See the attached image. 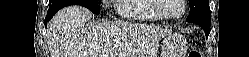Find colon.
Here are the masks:
<instances>
[{"mask_svg": "<svg viewBox=\"0 0 249 57\" xmlns=\"http://www.w3.org/2000/svg\"><path fill=\"white\" fill-rule=\"evenodd\" d=\"M189 57H201L200 52H198L197 50H192L189 53Z\"/></svg>", "mask_w": 249, "mask_h": 57, "instance_id": "5ec220e1", "label": "colon"}]
</instances>
